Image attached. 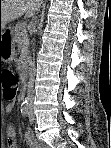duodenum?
I'll list each match as a JSON object with an SVG mask.
<instances>
[{
    "mask_svg": "<svg viewBox=\"0 0 111 148\" xmlns=\"http://www.w3.org/2000/svg\"><path fill=\"white\" fill-rule=\"evenodd\" d=\"M23 87H24V89L27 87L26 78H25V80H24V85H23ZM41 147H43V146H41Z\"/></svg>",
    "mask_w": 111,
    "mask_h": 148,
    "instance_id": "410a0bca",
    "label": "duodenum"
}]
</instances>
